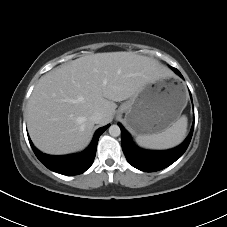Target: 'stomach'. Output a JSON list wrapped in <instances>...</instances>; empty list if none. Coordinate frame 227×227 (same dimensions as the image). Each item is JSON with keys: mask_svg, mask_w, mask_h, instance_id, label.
Here are the masks:
<instances>
[{"mask_svg": "<svg viewBox=\"0 0 227 227\" xmlns=\"http://www.w3.org/2000/svg\"><path fill=\"white\" fill-rule=\"evenodd\" d=\"M187 103L184 88L175 81L147 83L119 108L124 123L135 135L158 134L171 127Z\"/></svg>", "mask_w": 227, "mask_h": 227, "instance_id": "obj_1", "label": "stomach"}]
</instances>
